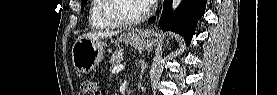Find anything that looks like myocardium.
<instances>
[{
    "instance_id": "1",
    "label": "myocardium",
    "mask_w": 277,
    "mask_h": 95,
    "mask_svg": "<svg viewBox=\"0 0 277 95\" xmlns=\"http://www.w3.org/2000/svg\"><path fill=\"white\" fill-rule=\"evenodd\" d=\"M114 1H117V0H104V3L99 10L100 17L103 20H105L108 23H111L113 25L127 26V25L138 24V23L142 22L143 20H145L150 13V8L145 6L143 12L139 16H137L135 18H122V17L116 16V15H113L110 12V8Z\"/></svg>"
}]
</instances>
